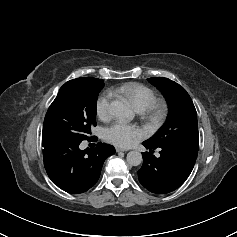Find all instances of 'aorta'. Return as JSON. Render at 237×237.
<instances>
[{
  "label": "aorta",
  "mask_w": 237,
  "mask_h": 237,
  "mask_svg": "<svg viewBox=\"0 0 237 237\" xmlns=\"http://www.w3.org/2000/svg\"><path fill=\"white\" fill-rule=\"evenodd\" d=\"M111 112L118 118L123 120H131L133 112L130 107L122 101H113L110 105ZM127 163L131 166H138L142 163V154L138 151H130L127 154Z\"/></svg>",
  "instance_id": "aorta-1"
}]
</instances>
